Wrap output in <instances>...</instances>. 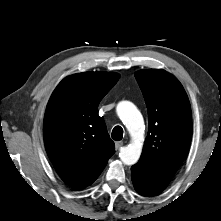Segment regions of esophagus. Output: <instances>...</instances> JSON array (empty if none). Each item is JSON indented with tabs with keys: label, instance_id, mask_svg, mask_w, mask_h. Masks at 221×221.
Instances as JSON below:
<instances>
[{
	"label": "esophagus",
	"instance_id": "obj_1",
	"mask_svg": "<svg viewBox=\"0 0 221 221\" xmlns=\"http://www.w3.org/2000/svg\"><path fill=\"white\" fill-rule=\"evenodd\" d=\"M122 146H123L122 141H118V142L115 143V147H116L117 150H119Z\"/></svg>",
	"mask_w": 221,
	"mask_h": 221
}]
</instances>
